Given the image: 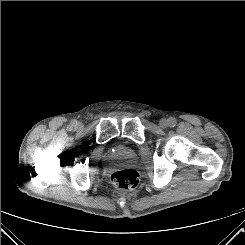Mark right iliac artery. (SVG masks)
Wrapping results in <instances>:
<instances>
[{"instance_id": "obj_1", "label": "right iliac artery", "mask_w": 245, "mask_h": 245, "mask_svg": "<svg viewBox=\"0 0 245 245\" xmlns=\"http://www.w3.org/2000/svg\"><path fill=\"white\" fill-rule=\"evenodd\" d=\"M76 124H77V122H76V121H72V123H71V127L76 126Z\"/></svg>"}]
</instances>
